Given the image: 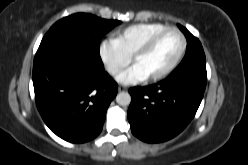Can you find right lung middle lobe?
Segmentation results:
<instances>
[{"label":"right lung middle lobe","mask_w":248,"mask_h":165,"mask_svg":"<svg viewBox=\"0 0 248 165\" xmlns=\"http://www.w3.org/2000/svg\"><path fill=\"white\" fill-rule=\"evenodd\" d=\"M118 20H105L91 14L77 13L57 21L43 37L39 49L62 42H74L84 45L101 61L99 46L100 39L114 26Z\"/></svg>","instance_id":"obj_1"}]
</instances>
